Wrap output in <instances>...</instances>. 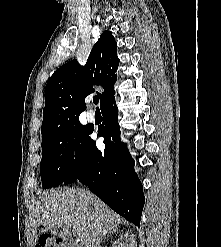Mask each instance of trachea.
Masks as SVG:
<instances>
[{"label":"trachea","mask_w":221,"mask_h":247,"mask_svg":"<svg viewBox=\"0 0 221 247\" xmlns=\"http://www.w3.org/2000/svg\"><path fill=\"white\" fill-rule=\"evenodd\" d=\"M98 102H99V97H98V96L93 97V103H94L95 105H97ZM97 110H99L98 107H97Z\"/></svg>","instance_id":"3493384b"}]
</instances>
